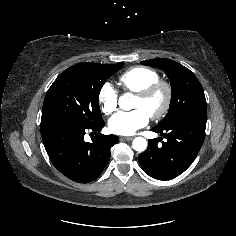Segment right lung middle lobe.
I'll list each match as a JSON object with an SVG mask.
<instances>
[{
  "label": "right lung middle lobe",
  "instance_id": "obj_1",
  "mask_svg": "<svg viewBox=\"0 0 236 236\" xmlns=\"http://www.w3.org/2000/svg\"><path fill=\"white\" fill-rule=\"evenodd\" d=\"M123 64L80 63L66 69L46 94L41 129L63 121L83 125H94L103 121L99 108L100 90Z\"/></svg>",
  "mask_w": 236,
  "mask_h": 236
}]
</instances>
